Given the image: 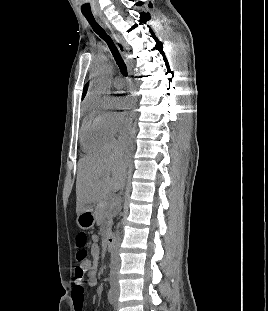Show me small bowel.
Instances as JSON below:
<instances>
[{
	"mask_svg": "<svg viewBox=\"0 0 268 311\" xmlns=\"http://www.w3.org/2000/svg\"><path fill=\"white\" fill-rule=\"evenodd\" d=\"M98 241V236L93 235L90 245L92 261L90 262L85 283L81 280H76L72 290V300L75 311H84V284L93 287L98 283V265L101 254Z\"/></svg>",
	"mask_w": 268,
	"mask_h": 311,
	"instance_id": "c3829d8e",
	"label": "small bowel"
}]
</instances>
